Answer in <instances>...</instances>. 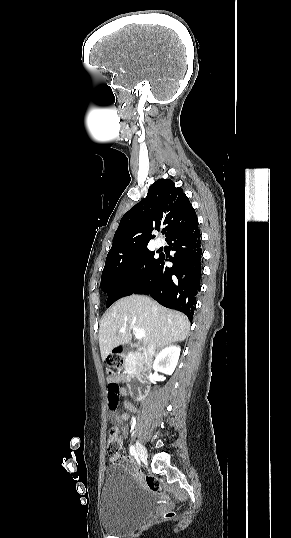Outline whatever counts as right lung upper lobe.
<instances>
[{"instance_id": "cb5924a9", "label": "right lung upper lobe", "mask_w": 291, "mask_h": 538, "mask_svg": "<svg viewBox=\"0 0 291 538\" xmlns=\"http://www.w3.org/2000/svg\"><path fill=\"white\" fill-rule=\"evenodd\" d=\"M196 221L183 189L176 188L170 179H159L149 187L147 196L122 217L106 259L147 248L151 231L162 225L167 240Z\"/></svg>"}]
</instances>
